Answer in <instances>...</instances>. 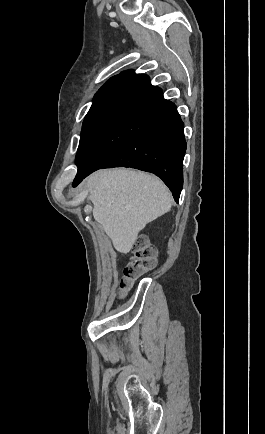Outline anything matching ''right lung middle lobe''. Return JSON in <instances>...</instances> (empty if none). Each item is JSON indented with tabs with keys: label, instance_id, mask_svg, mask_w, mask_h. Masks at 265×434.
<instances>
[{
	"label": "right lung middle lobe",
	"instance_id": "dd1d6c3e",
	"mask_svg": "<svg viewBox=\"0 0 265 434\" xmlns=\"http://www.w3.org/2000/svg\"><path fill=\"white\" fill-rule=\"evenodd\" d=\"M132 78V76L113 77L108 80L95 95L94 102L83 122L80 143L76 155L77 165L87 154L90 145L110 110Z\"/></svg>",
	"mask_w": 265,
	"mask_h": 434
}]
</instances>
